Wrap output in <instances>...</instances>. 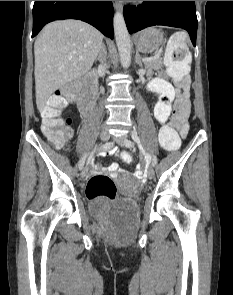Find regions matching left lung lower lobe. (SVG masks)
Listing matches in <instances>:
<instances>
[{
    "label": "left lung lower lobe",
    "mask_w": 233,
    "mask_h": 295,
    "mask_svg": "<svg viewBox=\"0 0 233 295\" xmlns=\"http://www.w3.org/2000/svg\"><path fill=\"white\" fill-rule=\"evenodd\" d=\"M129 33L153 25L179 27L188 31L196 46L197 17L194 1H144L139 6H124Z\"/></svg>",
    "instance_id": "left-lung-lower-lobe-1"
}]
</instances>
